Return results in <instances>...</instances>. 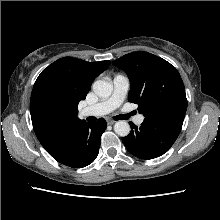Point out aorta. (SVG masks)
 <instances>
[{
	"label": "aorta",
	"instance_id": "762f6f07",
	"mask_svg": "<svg viewBox=\"0 0 220 220\" xmlns=\"http://www.w3.org/2000/svg\"><path fill=\"white\" fill-rule=\"evenodd\" d=\"M92 87L94 93L101 98H108L113 91V85L104 80L95 81ZM114 131L118 136L125 137L130 133V125L126 121H117Z\"/></svg>",
	"mask_w": 220,
	"mask_h": 220
}]
</instances>
